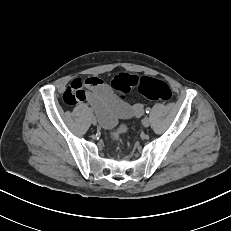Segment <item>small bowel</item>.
Returning <instances> with one entry per match:
<instances>
[{
    "label": "small bowel",
    "instance_id": "small-bowel-1",
    "mask_svg": "<svg viewBox=\"0 0 231 231\" xmlns=\"http://www.w3.org/2000/svg\"><path fill=\"white\" fill-rule=\"evenodd\" d=\"M63 96L64 100L71 105L86 100L105 128L114 127L119 119L140 116L143 110L141 104L128 103L124 96L95 76L84 80L73 79Z\"/></svg>",
    "mask_w": 231,
    "mask_h": 231
}]
</instances>
